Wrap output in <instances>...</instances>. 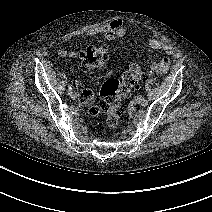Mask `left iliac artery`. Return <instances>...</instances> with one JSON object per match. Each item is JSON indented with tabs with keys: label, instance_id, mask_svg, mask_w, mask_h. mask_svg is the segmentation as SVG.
Returning a JSON list of instances; mask_svg holds the SVG:
<instances>
[{
	"label": "left iliac artery",
	"instance_id": "obj_1",
	"mask_svg": "<svg viewBox=\"0 0 212 212\" xmlns=\"http://www.w3.org/2000/svg\"><path fill=\"white\" fill-rule=\"evenodd\" d=\"M148 105V100L146 98H142V106H147Z\"/></svg>",
	"mask_w": 212,
	"mask_h": 212
}]
</instances>
